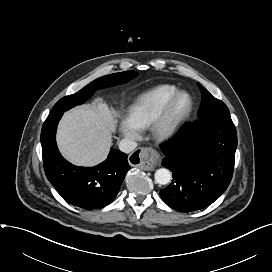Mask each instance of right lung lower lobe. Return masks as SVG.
Wrapping results in <instances>:
<instances>
[{"mask_svg": "<svg viewBox=\"0 0 272 272\" xmlns=\"http://www.w3.org/2000/svg\"><path fill=\"white\" fill-rule=\"evenodd\" d=\"M63 113L49 115L41 131L44 170L48 180L68 203L86 209L108 205L117 195L127 171V155L111 149L108 158L95 167H78L58 151L56 129Z\"/></svg>", "mask_w": 272, "mask_h": 272, "instance_id": "1", "label": "right lung lower lobe"}]
</instances>
